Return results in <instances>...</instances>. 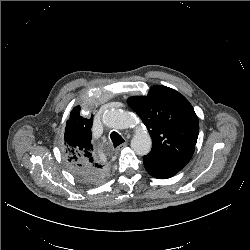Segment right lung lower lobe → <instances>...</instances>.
<instances>
[{
	"mask_svg": "<svg viewBox=\"0 0 250 250\" xmlns=\"http://www.w3.org/2000/svg\"><path fill=\"white\" fill-rule=\"evenodd\" d=\"M69 168L73 175L79 179L81 182L86 184H99L103 182L108 174L109 170L104 169L101 171L85 170V169H76L69 165Z\"/></svg>",
	"mask_w": 250,
	"mask_h": 250,
	"instance_id": "obj_1",
	"label": "right lung lower lobe"
}]
</instances>
